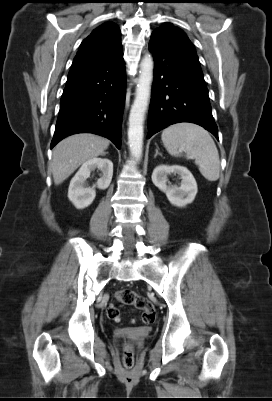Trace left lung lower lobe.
Instances as JSON below:
<instances>
[{"label":"left lung lower lobe","instance_id":"1","mask_svg":"<svg viewBox=\"0 0 272 401\" xmlns=\"http://www.w3.org/2000/svg\"><path fill=\"white\" fill-rule=\"evenodd\" d=\"M155 68L148 116V136L179 122L204 127L218 139L197 55L182 50L153 31L149 42Z\"/></svg>","mask_w":272,"mask_h":401}]
</instances>
